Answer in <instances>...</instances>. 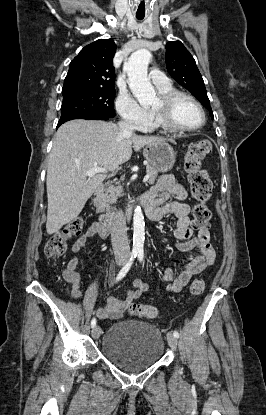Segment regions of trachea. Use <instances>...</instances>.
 <instances>
[{
	"label": "trachea",
	"instance_id": "1",
	"mask_svg": "<svg viewBox=\"0 0 266 415\" xmlns=\"http://www.w3.org/2000/svg\"><path fill=\"white\" fill-rule=\"evenodd\" d=\"M136 18H137L138 20H142V19L144 18V16H139V15H136Z\"/></svg>",
	"mask_w": 266,
	"mask_h": 415
}]
</instances>
